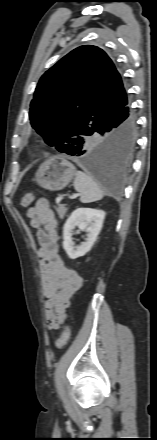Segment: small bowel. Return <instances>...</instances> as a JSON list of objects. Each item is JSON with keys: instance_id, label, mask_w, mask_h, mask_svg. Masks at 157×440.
<instances>
[{"instance_id": "small-bowel-1", "label": "small bowel", "mask_w": 157, "mask_h": 440, "mask_svg": "<svg viewBox=\"0 0 157 440\" xmlns=\"http://www.w3.org/2000/svg\"><path fill=\"white\" fill-rule=\"evenodd\" d=\"M39 244L45 317L50 329H58L67 318L70 299L80 289L82 277L67 267L59 255L57 220L47 199H39L27 210Z\"/></svg>"}]
</instances>
